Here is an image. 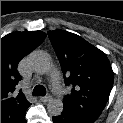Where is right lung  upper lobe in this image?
Wrapping results in <instances>:
<instances>
[{
  "label": "right lung upper lobe",
  "mask_w": 123,
  "mask_h": 123,
  "mask_svg": "<svg viewBox=\"0 0 123 123\" xmlns=\"http://www.w3.org/2000/svg\"><path fill=\"white\" fill-rule=\"evenodd\" d=\"M46 34L41 31L13 32L1 38V123H19L30 103L20 91L14 94L21 80L17 71L20 60L39 46Z\"/></svg>",
  "instance_id": "cb5924a9"
}]
</instances>
